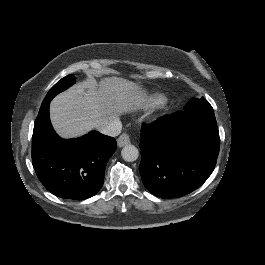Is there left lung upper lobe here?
Instances as JSON below:
<instances>
[{"label":"left lung upper lobe","mask_w":265,"mask_h":265,"mask_svg":"<svg viewBox=\"0 0 265 265\" xmlns=\"http://www.w3.org/2000/svg\"><path fill=\"white\" fill-rule=\"evenodd\" d=\"M205 99L204 98H201V99H192L186 106H185V108H188V107H190V106H192V105H195V104H198V103H200V102H202V101H204Z\"/></svg>","instance_id":"obj_1"}]
</instances>
